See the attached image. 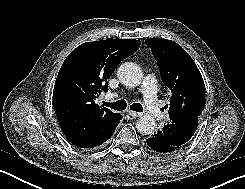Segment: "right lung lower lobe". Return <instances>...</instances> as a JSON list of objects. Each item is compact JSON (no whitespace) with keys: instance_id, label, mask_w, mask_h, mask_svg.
Returning a JSON list of instances; mask_svg holds the SVG:
<instances>
[{"instance_id":"98d812e1","label":"right lung lower lobe","mask_w":245,"mask_h":189,"mask_svg":"<svg viewBox=\"0 0 245 189\" xmlns=\"http://www.w3.org/2000/svg\"><path fill=\"white\" fill-rule=\"evenodd\" d=\"M97 125H98V123H97ZM98 127H99L98 130H100V128L103 127V125L100 124V121H99V126H98ZM100 133H103V132H101V130H100ZM113 133H114V132H113ZM113 133H111V134H109V135H107V136H105V137H101V138H99L97 141H93V142L90 143V144H86V145L78 146V147H81V148H93V147L100 146V145H102L105 141H107V140L113 135Z\"/></svg>"}]
</instances>
